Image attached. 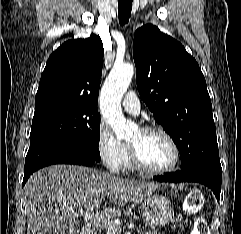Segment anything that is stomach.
I'll use <instances>...</instances> for the list:
<instances>
[{"mask_svg": "<svg viewBox=\"0 0 241 234\" xmlns=\"http://www.w3.org/2000/svg\"><path fill=\"white\" fill-rule=\"evenodd\" d=\"M141 203L146 222L152 227L165 225L174 215L170 200L162 195H149L142 198Z\"/></svg>", "mask_w": 241, "mask_h": 234, "instance_id": "0dacf381", "label": "stomach"}]
</instances>
